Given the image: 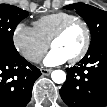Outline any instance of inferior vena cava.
Here are the masks:
<instances>
[{
  "label": "inferior vena cava",
  "instance_id": "obj_1",
  "mask_svg": "<svg viewBox=\"0 0 107 107\" xmlns=\"http://www.w3.org/2000/svg\"><path fill=\"white\" fill-rule=\"evenodd\" d=\"M41 58H42V57H41L40 55H34V56L31 58V61L38 63V62H40Z\"/></svg>",
  "mask_w": 107,
  "mask_h": 107
}]
</instances>
